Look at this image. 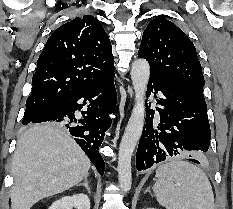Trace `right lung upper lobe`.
Returning a JSON list of instances; mask_svg holds the SVG:
<instances>
[{"label": "right lung upper lobe", "instance_id": "cb5924a9", "mask_svg": "<svg viewBox=\"0 0 233 209\" xmlns=\"http://www.w3.org/2000/svg\"><path fill=\"white\" fill-rule=\"evenodd\" d=\"M109 36L97 18L85 15L55 30L47 40L26 103L52 104L114 75Z\"/></svg>", "mask_w": 233, "mask_h": 209}]
</instances>
